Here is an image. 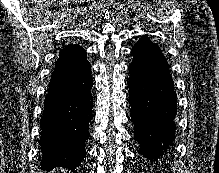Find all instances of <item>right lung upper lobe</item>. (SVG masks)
Wrapping results in <instances>:
<instances>
[{
  "mask_svg": "<svg viewBox=\"0 0 219 173\" xmlns=\"http://www.w3.org/2000/svg\"><path fill=\"white\" fill-rule=\"evenodd\" d=\"M84 50L79 45H69L63 48L60 53L59 57L62 59H71L75 56L83 54Z\"/></svg>",
  "mask_w": 219,
  "mask_h": 173,
  "instance_id": "cb5924a9",
  "label": "right lung upper lobe"
}]
</instances>
